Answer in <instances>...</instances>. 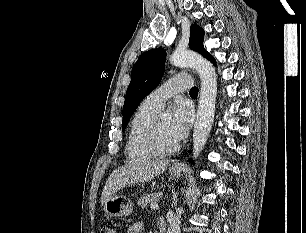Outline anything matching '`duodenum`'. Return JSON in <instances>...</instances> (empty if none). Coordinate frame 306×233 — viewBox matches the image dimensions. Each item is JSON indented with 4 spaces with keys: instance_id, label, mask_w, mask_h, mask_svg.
Here are the masks:
<instances>
[{
    "instance_id": "duodenum-1",
    "label": "duodenum",
    "mask_w": 306,
    "mask_h": 233,
    "mask_svg": "<svg viewBox=\"0 0 306 233\" xmlns=\"http://www.w3.org/2000/svg\"><path fill=\"white\" fill-rule=\"evenodd\" d=\"M161 232L164 233V226H161Z\"/></svg>"
}]
</instances>
